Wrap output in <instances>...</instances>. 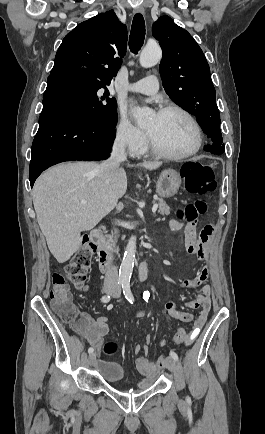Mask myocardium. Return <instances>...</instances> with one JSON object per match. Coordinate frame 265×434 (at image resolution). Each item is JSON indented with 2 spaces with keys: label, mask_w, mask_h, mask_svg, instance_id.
<instances>
[{
  "label": "myocardium",
  "mask_w": 265,
  "mask_h": 434,
  "mask_svg": "<svg viewBox=\"0 0 265 434\" xmlns=\"http://www.w3.org/2000/svg\"><path fill=\"white\" fill-rule=\"evenodd\" d=\"M170 111H177V112L183 114L190 121V123L194 129V134H195V140H194L193 146L189 150L182 152V153H178V154L168 153V152H165V151L161 150L160 148H158L153 143L150 135L147 134L149 148L155 156L162 158V159L170 160V161H179V160H184V159L190 158L193 155H195L202 147L203 131H202L201 125L199 124L197 119L193 116V114L189 110H187L186 108H184L183 106L178 105V104H170V105L162 107L159 111V114H165V113H168Z\"/></svg>",
  "instance_id": "myocardium-1"
}]
</instances>
